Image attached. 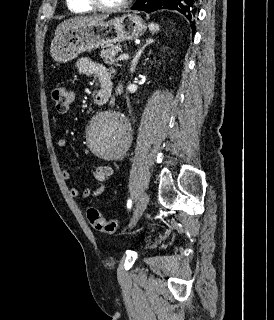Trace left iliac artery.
<instances>
[{"instance_id": "1", "label": "left iliac artery", "mask_w": 274, "mask_h": 320, "mask_svg": "<svg viewBox=\"0 0 274 320\" xmlns=\"http://www.w3.org/2000/svg\"><path fill=\"white\" fill-rule=\"evenodd\" d=\"M131 207H132V200L129 199V200L127 201V208L130 209Z\"/></svg>"}]
</instances>
